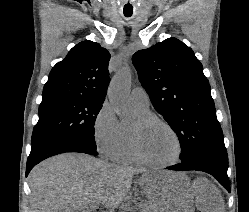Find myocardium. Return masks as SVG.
I'll return each mask as SVG.
<instances>
[{"label":"myocardium","instance_id":"f54148a6","mask_svg":"<svg viewBox=\"0 0 249 212\" xmlns=\"http://www.w3.org/2000/svg\"><path fill=\"white\" fill-rule=\"evenodd\" d=\"M154 124H159L163 126L175 137L178 143V155L175 160L171 162H165V163L154 162L148 159L141 151L139 142H138L137 133L140 129L154 125ZM129 141H130L131 150L136 160L141 164H144L146 166L153 167V168H170V167L176 166L178 163H180V161L182 160L183 154H184L183 142L178 132L167 121L159 117L153 116V115L139 117L137 119L135 126L130 127L129 129Z\"/></svg>","mask_w":249,"mask_h":212}]
</instances>
